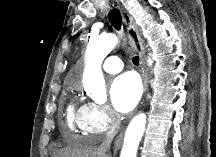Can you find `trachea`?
Instances as JSON below:
<instances>
[{
	"label": "trachea",
	"mask_w": 216,
	"mask_h": 157,
	"mask_svg": "<svg viewBox=\"0 0 216 157\" xmlns=\"http://www.w3.org/2000/svg\"><path fill=\"white\" fill-rule=\"evenodd\" d=\"M108 19L116 30H120L122 26V16L118 9L114 8L108 13ZM134 35V34H133ZM133 64L139 65V57L135 56L132 59Z\"/></svg>",
	"instance_id": "1"
}]
</instances>
